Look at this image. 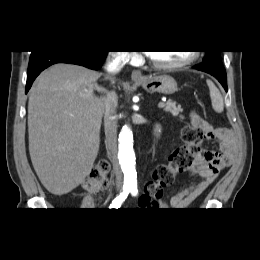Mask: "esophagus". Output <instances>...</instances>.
I'll use <instances>...</instances> for the list:
<instances>
[{"mask_svg":"<svg viewBox=\"0 0 260 260\" xmlns=\"http://www.w3.org/2000/svg\"><path fill=\"white\" fill-rule=\"evenodd\" d=\"M131 78L133 80H143L144 79L140 70H133L132 74H131Z\"/></svg>","mask_w":260,"mask_h":260,"instance_id":"34e87169","label":"esophagus"}]
</instances>
